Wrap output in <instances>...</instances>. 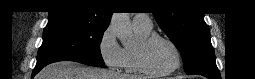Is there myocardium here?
Returning <instances> with one entry per match:
<instances>
[{
	"label": "myocardium",
	"instance_id": "f54148a6",
	"mask_svg": "<svg viewBox=\"0 0 255 79\" xmlns=\"http://www.w3.org/2000/svg\"><path fill=\"white\" fill-rule=\"evenodd\" d=\"M157 39H161L167 42L171 46L175 55L174 64L169 69L165 71H160V72L152 70L148 66L147 59H146V52L148 47ZM181 59H182L181 51L176 45V43L172 39L162 34H150L147 38L143 39L136 48V61H137L138 68L142 73L146 75H151V76L169 75L180 68Z\"/></svg>",
	"mask_w": 255,
	"mask_h": 79
}]
</instances>
